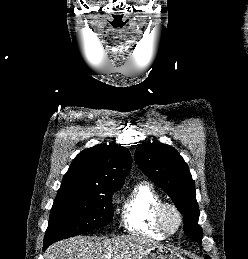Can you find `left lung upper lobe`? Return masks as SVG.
Returning a JSON list of instances; mask_svg holds the SVG:
<instances>
[{
	"instance_id": "5c2ea615",
	"label": "left lung upper lobe",
	"mask_w": 248,
	"mask_h": 259,
	"mask_svg": "<svg viewBox=\"0 0 248 259\" xmlns=\"http://www.w3.org/2000/svg\"><path fill=\"white\" fill-rule=\"evenodd\" d=\"M135 161L140 169L172 199L184 215V233L200 242L199 207L195 184L187 164L176 149L160 142L139 144Z\"/></svg>"
}]
</instances>
